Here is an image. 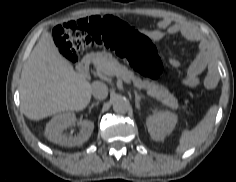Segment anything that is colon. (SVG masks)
Wrapping results in <instances>:
<instances>
[{"label":"colon","mask_w":236,"mask_h":182,"mask_svg":"<svg viewBox=\"0 0 236 182\" xmlns=\"http://www.w3.org/2000/svg\"><path fill=\"white\" fill-rule=\"evenodd\" d=\"M53 36L62 55L73 63L87 48L104 46L125 58L145 77L156 79L162 73V63L152 41L119 18L68 21L56 26Z\"/></svg>","instance_id":"colon-1"}]
</instances>
